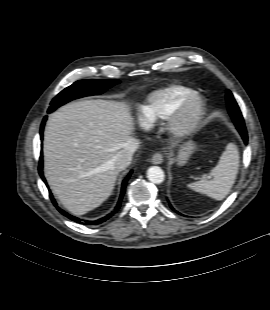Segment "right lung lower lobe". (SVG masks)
Listing matches in <instances>:
<instances>
[{
  "instance_id": "98d812e1",
  "label": "right lung lower lobe",
  "mask_w": 270,
  "mask_h": 310,
  "mask_svg": "<svg viewBox=\"0 0 270 310\" xmlns=\"http://www.w3.org/2000/svg\"><path fill=\"white\" fill-rule=\"evenodd\" d=\"M46 119H47V117H44L43 122H42V124H41V129H40V136H41V139L43 138V129H44V125H45ZM42 164H43V162H42V156H41V157H40V163H39V173H40V176H41V178L43 179V181L46 183L45 178H44V176H43V172H42ZM131 173H132V171H131V172L127 175V177L123 180L120 198H119V201H118V203H117L115 209H114L111 213H109L108 215H106L105 217H102V218H100V219H98V220H95V221H87V220H81V219H79V218H77V217H74V216H72V215L66 213L65 211L61 210L59 207H57V209H58L63 215H65L66 217H68L69 219H71V220H73V221H75V222H77V223H84V224H87V225H93V224H94V225H97V224H100V223H102V222H105V221L108 220L110 217H112V216L118 211V209L120 208L121 202H122V198H123V195H124V192H125L126 184H127V181H128V179H129ZM50 198H51L53 204H54L55 206H57V204H56V202H55V200H54V198H53L51 192H50Z\"/></svg>"
}]
</instances>
